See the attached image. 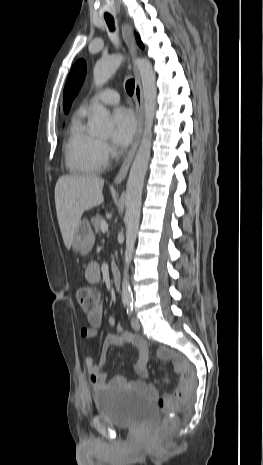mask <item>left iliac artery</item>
<instances>
[{"label":"left iliac artery","mask_w":263,"mask_h":465,"mask_svg":"<svg viewBox=\"0 0 263 465\" xmlns=\"http://www.w3.org/2000/svg\"><path fill=\"white\" fill-rule=\"evenodd\" d=\"M132 311H133V303H128V305H127V313L129 315H131Z\"/></svg>","instance_id":"44dca946"}]
</instances>
